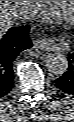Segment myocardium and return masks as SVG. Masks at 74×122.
I'll return each instance as SVG.
<instances>
[{
  "mask_svg": "<svg viewBox=\"0 0 74 122\" xmlns=\"http://www.w3.org/2000/svg\"><path fill=\"white\" fill-rule=\"evenodd\" d=\"M46 2L51 10H53L59 14V12L56 10L58 1H46ZM72 15H74V1H73V7L67 13V17H71Z\"/></svg>",
  "mask_w": 74,
  "mask_h": 122,
  "instance_id": "1",
  "label": "myocardium"
}]
</instances>
